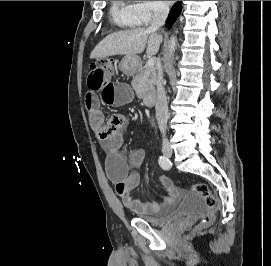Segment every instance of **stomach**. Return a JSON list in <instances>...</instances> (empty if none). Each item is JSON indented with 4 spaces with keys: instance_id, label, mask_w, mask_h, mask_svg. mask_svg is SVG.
<instances>
[{
    "instance_id": "obj_1",
    "label": "stomach",
    "mask_w": 271,
    "mask_h": 266,
    "mask_svg": "<svg viewBox=\"0 0 271 266\" xmlns=\"http://www.w3.org/2000/svg\"><path fill=\"white\" fill-rule=\"evenodd\" d=\"M139 62L140 60L136 55L125 56L120 62L119 67L123 72H132L133 70L137 68V66L139 65Z\"/></svg>"
}]
</instances>
